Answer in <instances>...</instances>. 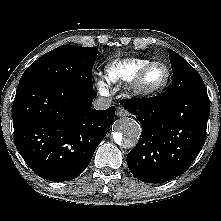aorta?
<instances>
[{
	"mask_svg": "<svg viewBox=\"0 0 221 221\" xmlns=\"http://www.w3.org/2000/svg\"><path fill=\"white\" fill-rule=\"evenodd\" d=\"M141 135V125L136 120L124 117L116 121L113 139L116 144L124 148L136 146Z\"/></svg>",
	"mask_w": 221,
	"mask_h": 221,
	"instance_id": "obj_1",
	"label": "aorta"
}]
</instances>
